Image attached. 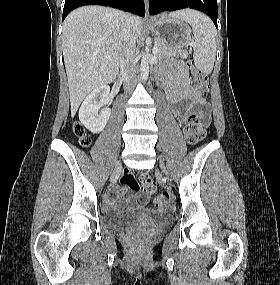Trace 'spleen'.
Instances as JSON below:
<instances>
[{"instance_id": "3e777b00", "label": "spleen", "mask_w": 280, "mask_h": 285, "mask_svg": "<svg viewBox=\"0 0 280 285\" xmlns=\"http://www.w3.org/2000/svg\"><path fill=\"white\" fill-rule=\"evenodd\" d=\"M170 16L191 25L194 34V63L200 71L210 74L216 56V29L212 21L206 15L190 9L173 12Z\"/></svg>"}]
</instances>
